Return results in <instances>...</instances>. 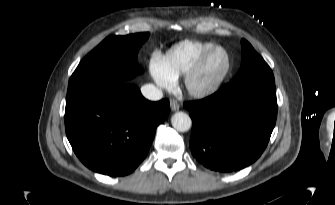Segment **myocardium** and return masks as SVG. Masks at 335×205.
I'll list each match as a JSON object with an SVG mask.
<instances>
[{"instance_id":"1","label":"myocardium","mask_w":335,"mask_h":205,"mask_svg":"<svg viewBox=\"0 0 335 205\" xmlns=\"http://www.w3.org/2000/svg\"><path fill=\"white\" fill-rule=\"evenodd\" d=\"M217 51L224 53L226 58V64L222 73L210 84L199 85L198 79L207 63L209 58ZM232 60L228 50L220 45H214L213 47L206 50L201 56L197 59L191 69L185 74L184 84L187 92L195 98L203 99L207 98L214 93H216L224 81L226 80L230 70H231Z\"/></svg>"}]
</instances>
